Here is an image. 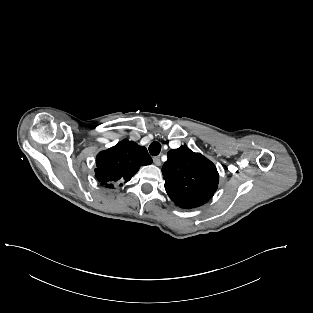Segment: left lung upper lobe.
I'll use <instances>...</instances> for the list:
<instances>
[{
    "instance_id": "1",
    "label": "left lung upper lobe",
    "mask_w": 313,
    "mask_h": 313,
    "mask_svg": "<svg viewBox=\"0 0 313 313\" xmlns=\"http://www.w3.org/2000/svg\"><path fill=\"white\" fill-rule=\"evenodd\" d=\"M167 156L162 168L165 190L177 206L191 209L213 197L219 175L210 160L185 146L170 150Z\"/></svg>"
}]
</instances>
